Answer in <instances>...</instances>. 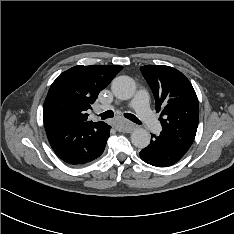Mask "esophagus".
<instances>
[{
    "label": "esophagus",
    "mask_w": 234,
    "mask_h": 234,
    "mask_svg": "<svg viewBox=\"0 0 234 234\" xmlns=\"http://www.w3.org/2000/svg\"><path fill=\"white\" fill-rule=\"evenodd\" d=\"M134 129V125L127 123L125 127L121 128L120 130L123 132H131Z\"/></svg>",
    "instance_id": "obj_1"
}]
</instances>
